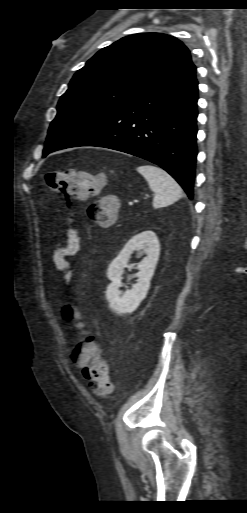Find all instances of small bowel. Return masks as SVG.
Segmentation results:
<instances>
[{
    "label": "small bowel",
    "instance_id": "obj_1",
    "mask_svg": "<svg viewBox=\"0 0 247 513\" xmlns=\"http://www.w3.org/2000/svg\"><path fill=\"white\" fill-rule=\"evenodd\" d=\"M81 247L80 235L73 227L67 229L63 238L53 247L52 263L61 274L63 281L70 280L69 258L77 255L81 251ZM71 362L74 364V361L71 360Z\"/></svg>",
    "mask_w": 247,
    "mask_h": 513
}]
</instances>
